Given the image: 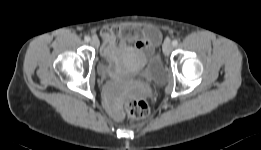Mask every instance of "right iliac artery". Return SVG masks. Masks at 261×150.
Wrapping results in <instances>:
<instances>
[{
    "mask_svg": "<svg viewBox=\"0 0 261 150\" xmlns=\"http://www.w3.org/2000/svg\"><path fill=\"white\" fill-rule=\"evenodd\" d=\"M84 40H85L86 42H89V41H90V37H89V36H85Z\"/></svg>",
    "mask_w": 261,
    "mask_h": 150,
    "instance_id": "1",
    "label": "right iliac artery"
}]
</instances>
